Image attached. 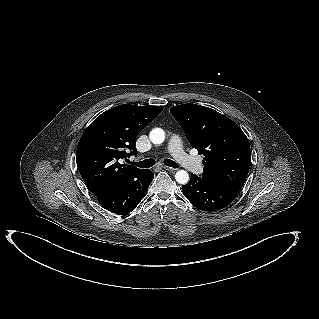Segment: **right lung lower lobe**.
Returning <instances> with one entry per match:
<instances>
[{
  "label": "right lung lower lobe",
  "instance_id": "obj_1",
  "mask_svg": "<svg viewBox=\"0 0 319 319\" xmlns=\"http://www.w3.org/2000/svg\"><path fill=\"white\" fill-rule=\"evenodd\" d=\"M153 177L152 171L141 170L98 196V201L113 213L127 214L134 210L144 198Z\"/></svg>",
  "mask_w": 319,
  "mask_h": 319
}]
</instances>
